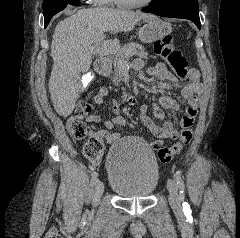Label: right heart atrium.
Returning <instances> with one entry per match:
<instances>
[{
  "label": "right heart atrium",
  "instance_id": "obj_1",
  "mask_svg": "<svg viewBox=\"0 0 240 238\" xmlns=\"http://www.w3.org/2000/svg\"><path fill=\"white\" fill-rule=\"evenodd\" d=\"M85 1L94 5H103L110 2V0H85Z\"/></svg>",
  "mask_w": 240,
  "mask_h": 238
}]
</instances>
